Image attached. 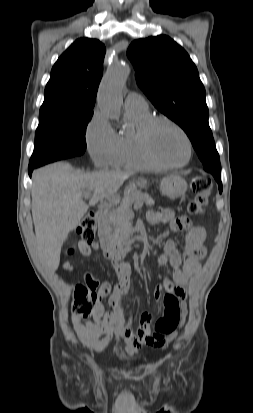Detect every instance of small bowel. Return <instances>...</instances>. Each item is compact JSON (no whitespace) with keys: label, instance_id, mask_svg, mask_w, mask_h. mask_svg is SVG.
Returning a JSON list of instances; mask_svg holds the SVG:
<instances>
[{"label":"small bowel","instance_id":"c3829d8e","mask_svg":"<svg viewBox=\"0 0 253 413\" xmlns=\"http://www.w3.org/2000/svg\"><path fill=\"white\" fill-rule=\"evenodd\" d=\"M147 219L150 224L164 225L173 230L186 232L183 253L177 249L172 240L165 242L159 264H169L173 269L172 275L171 278L165 277L160 284L155 286L153 291V297L160 305L164 290L184 299L186 286L190 278L200 270L199 261L206 254L204 245L207 235L206 229L200 225L192 226L186 217L176 218L175 212L170 208L150 211L147 214ZM79 250L84 256L89 257L93 251L100 250V245L97 242L91 244L80 242ZM112 265L117 275V281L113 288L108 280L99 285L90 273L85 275L87 284H97L99 291L105 292L103 297L111 292L109 298L111 310L105 312L104 306L99 303L92 319L72 315L71 323L79 341L86 348L102 352L110 344L118 343L122 338L125 340L126 351L129 354L137 353L145 345L162 346L166 341L159 344L151 333L152 316L150 314L143 313L140 316L137 328L133 327L131 320L124 317L123 296L130 285L131 269L129 264L117 259H112ZM64 268L72 270L69 263H64Z\"/></svg>","mask_w":253,"mask_h":413}]
</instances>
